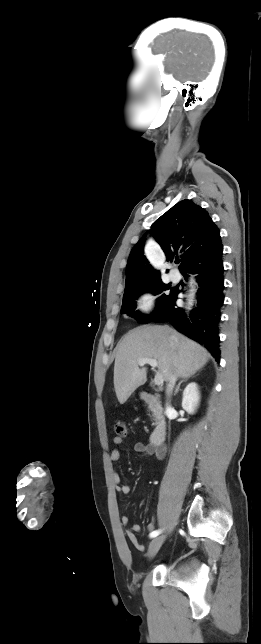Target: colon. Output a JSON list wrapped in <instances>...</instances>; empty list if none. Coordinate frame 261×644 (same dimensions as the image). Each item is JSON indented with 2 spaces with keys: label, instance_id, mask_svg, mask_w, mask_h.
Returning <instances> with one entry per match:
<instances>
[{
  "label": "colon",
  "instance_id": "obj_1",
  "mask_svg": "<svg viewBox=\"0 0 261 644\" xmlns=\"http://www.w3.org/2000/svg\"><path fill=\"white\" fill-rule=\"evenodd\" d=\"M115 434L119 438H125L128 435V427L124 421H118L114 427Z\"/></svg>",
  "mask_w": 261,
  "mask_h": 644
}]
</instances>
